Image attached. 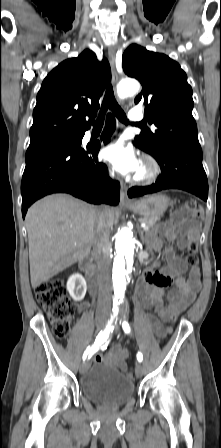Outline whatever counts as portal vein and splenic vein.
I'll return each mask as SVG.
<instances>
[{
	"mask_svg": "<svg viewBox=\"0 0 221 448\" xmlns=\"http://www.w3.org/2000/svg\"><path fill=\"white\" fill-rule=\"evenodd\" d=\"M141 227H142L145 231L149 230L148 225L145 224V223H142V224H141Z\"/></svg>",
	"mask_w": 221,
	"mask_h": 448,
	"instance_id": "1",
	"label": "portal vein and splenic vein"
}]
</instances>
